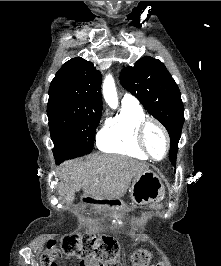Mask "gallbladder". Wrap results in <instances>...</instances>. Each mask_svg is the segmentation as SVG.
Wrapping results in <instances>:
<instances>
[{"mask_svg": "<svg viewBox=\"0 0 221 266\" xmlns=\"http://www.w3.org/2000/svg\"><path fill=\"white\" fill-rule=\"evenodd\" d=\"M74 199V194H70L65 198V201H72Z\"/></svg>", "mask_w": 221, "mask_h": 266, "instance_id": "gallbladder-1", "label": "gallbladder"}]
</instances>
